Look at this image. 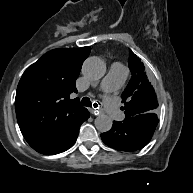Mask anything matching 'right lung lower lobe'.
<instances>
[{"label": "right lung lower lobe", "instance_id": "obj_1", "mask_svg": "<svg viewBox=\"0 0 193 193\" xmlns=\"http://www.w3.org/2000/svg\"><path fill=\"white\" fill-rule=\"evenodd\" d=\"M89 118V112L85 116V118L74 128V130L60 143L51 146V147H46L40 150H37V152L46 154V155H54L61 153L63 151H66L69 149L76 141L78 133H79V127L80 125L86 121Z\"/></svg>", "mask_w": 193, "mask_h": 193}]
</instances>
